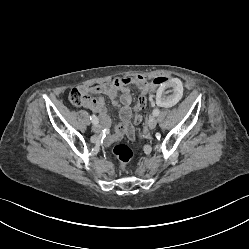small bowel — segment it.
Listing matches in <instances>:
<instances>
[{
  "mask_svg": "<svg viewBox=\"0 0 249 249\" xmlns=\"http://www.w3.org/2000/svg\"><path fill=\"white\" fill-rule=\"evenodd\" d=\"M165 77V76H164ZM166 79H168L166 77ZM151 79L136 75L131 77L117 76L109 82L95 85V86H81L78 89L85 95L84 106L97 114L101 120L103 127L107 128L110 125V119L107 114L106 106L102 98H94L93 94H102L107 96L112 105L119 108L120 122L117 125L115 132L107 135L105 139L107 142H112L123 134H127L130 138L134 137V130L130 124L132 102V89L131 85H135L141 92V95H148L153 89L154 85ZM155 102V101H154Z\"/></svg>",
  "mask_w": 249,
  "mask_h": 249,
  "instance_id": "c3829d8e",
  "label": "small bowel"
}]
</instances>
